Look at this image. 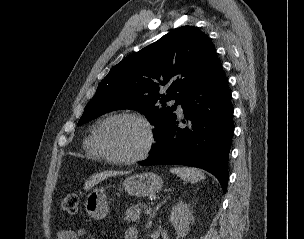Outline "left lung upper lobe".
I'll return each instance as SVG.
<instances>
[{"instance_id": "5c2ea615", "label": "left lung upper lobe", "mask_w": 304, "mask_h": 239, "mask_svg": "<svg viewBox=\"0 0 304 239\" xmlns=\"http://www.w3.org/2000/svg\"><path fill=\"white\" fill-rule=\"evenodd\" d=\"M216 52L203 32L183 26L164 35L113 66L99 83L78 125L110 111L132 109L146 113L157 139L175 109L210 68ZM165 90L166 94L160 95ZM176 100L172 107L165 102Z\"/></svg>"}]
</instances>
